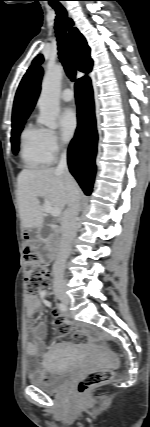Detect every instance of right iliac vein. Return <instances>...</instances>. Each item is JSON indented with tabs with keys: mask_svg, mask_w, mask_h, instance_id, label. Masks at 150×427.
<instances>
[{
	"mask_svg": "<svg viewBox=\"0 0 150 427\" xmlns=\"http://www.w3.org/2000/svg\"><path fill=\"white\" fill-rule=\"evenodd\" d=\"M56 296L65 304L69 303V297L62 290L56 292Z\"/></svg>",
	"mask_w": 150,
	"mask_h": 427,
	"instance_id": "obj_1",
	"label": "right iliac vein"
}]
</instances>
